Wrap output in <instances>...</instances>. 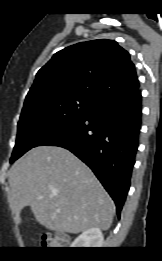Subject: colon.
I'll use <instances>...</instances> for the list:
<instances>
[{
	"instance_id": "colon-1",
	"label": "colon",
	"mask_w": 162,
	"mask_h": 261,
	"mask_svg": "<svg viewBox=\"0 0 162 261\" xmlns=\"http://www.w3.org/2000/svg\"><path fill=\"white\" fill-rule=\"evenodd\" d=\"M43 246L49 249H63L67 246V242L62 240L61 237L57 235H50L45 240H43Z\"/></svg>"
}]
</instances>
